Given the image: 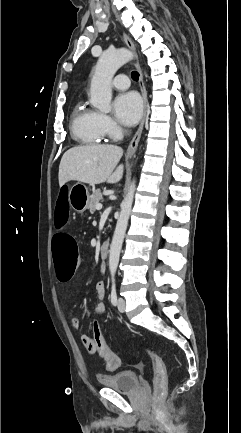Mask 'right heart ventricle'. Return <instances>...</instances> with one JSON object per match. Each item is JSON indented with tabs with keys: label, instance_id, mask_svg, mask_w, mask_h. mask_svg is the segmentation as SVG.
Masks as SVG:
<instances>
[{
	"label": "right heart ventricle",
	"instance_id": "1",
	"mask_svg": "<svg viewBox=\"0 0 241 433\" xmlns=\"http://www.w3.org/2000/svg\"><path fill=\"white\" fill-rule=\"evenodd\" d=\"M100 113L79 101L71 115V134L73 138L84 144H97L104 141L106 133L99 121Z\"/></svg>",
	"mask_w": 241,
	"mask_h": 433
}]
</instances>
